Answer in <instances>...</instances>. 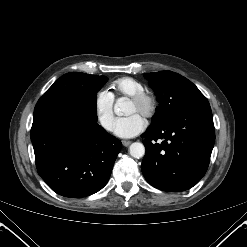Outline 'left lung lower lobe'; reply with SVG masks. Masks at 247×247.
<instances>
[{"instance_id":"obj_1","label":"left lung lower lobe","mask_w":247,"mask_h":247,"mask_svg":"<svg viewBox=\"0 0 247 247\" xmlns=\"http://www.w3.org/2000/svg\"><path fill=\"white\" fill-rule=\"evenodd\" d=\"M142 138L146 154L141 169L148 183L163 191L188 190L204 176L210 162L215 142L210 105L190 108L149 127Z\"/></svg>"}]
</instances>
